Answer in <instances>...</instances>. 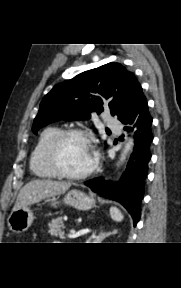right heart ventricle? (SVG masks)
Masks as SVG:
<instances>
[{
  "mask_svg": "<svg viewBox=\"0 0 181 288\" xmlns=\"http://www.w3.org/2000/svg\"><path fill=\"white\" fill-rule=\"evenodd\" d=\"M59 132L56 127L46 128L40 135L30 157V170L41 179H55L59 177L49 166L47 161L48 147Z\"/></svg>",
  "mask_w": 181,
  "mask_h": 288,
  "instance_id": "e07e8e85",
  "label": "right heart ventricle"
}]
</instances>
